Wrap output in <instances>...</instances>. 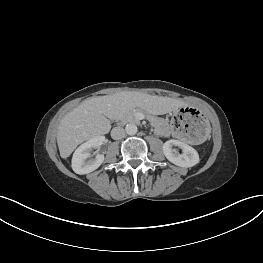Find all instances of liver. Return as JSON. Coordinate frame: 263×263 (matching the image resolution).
I'll return each mask as SVG.
<instances>
[{"label": "liver", "instance_id": "6515ba94", "mask_svg": "<svg viewBox=\"0 0 263 263\" xmlns=\"http://www.w3.org/2000/svg\"><path fill=\"white\" fill-rule=\"evenodd\" d=\"M183 105L179 99L133 91L86 99L66 114L59 124L57 144L60 156L65 159L82 142L107 134L111 129L109 119H119L135 107L162 115Z\"/></svg>", "mask_w": 263, "mask_h": 263}]
</instances>
